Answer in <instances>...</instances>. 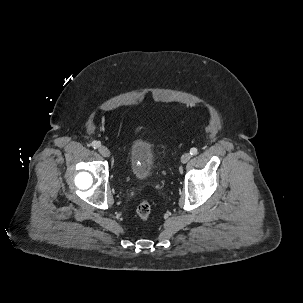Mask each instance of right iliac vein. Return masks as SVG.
I'll return each instance as SVG.
<instances>
[{
  "label": "right iliac vein",
  "instance_id": "63e3f726",
  "mask_svg": "<svg viewBox=\"0 0 303 303\" xmlns=\"http://www.w3.org/2000/svg\"><path fill=\"white\" fill-rule=\"evenodd\" d=\"M98 151L104 157H109L110 156V151L105 146H99Z\"/></svg>",
  "mask_w": 303,
  "mask_h": 303
}]
</instances>
